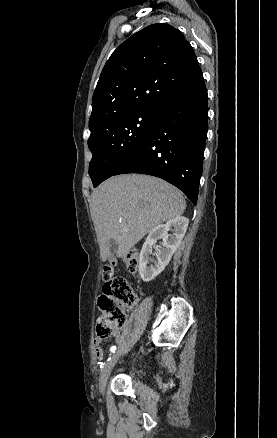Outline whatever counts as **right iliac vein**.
<instances>
[{"mask_svg": "<svg viewBox=\"0 0 277 438\" xmlns=\"http://www.w3.org/2000/svg\"><path fill=\"white\" fill-rule=\"evenodd\" d=\"M120 357V353L116 352L111 358L110 360H108V362L105 364V366L103 367L101 373H100V377H99V388H100V392L104 393L105 388H106V384L108 381V378L112 372V369L114 368L115 364L117 363V361L119 360Z\"/></svg>", "mask_w": 277, "mask_h": 438, "instance_id": "63e3f726", "label": "right iliac vein"}]
</instances>
